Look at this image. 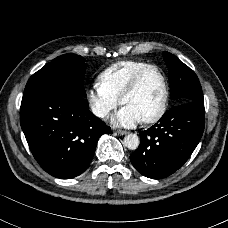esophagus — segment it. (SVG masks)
I'll return each mask as SVG.
<instances>
[{
  "mask_svg": "<svg viewBox=\"0 0 228 228\" xmlns=\"http://www.w3.org/2000/svg\"><path fill=\"white\" fill-rule=\"evenodd\" d=\"M115 132L120 136L128 133L126 130H122V129H117V130H115Z\"/></svg>",
  "mask_w": 228,
  "mask_h": 228,
  "instance_id": "obj_1",
  "label": "esophagus"
}]
</instances>
